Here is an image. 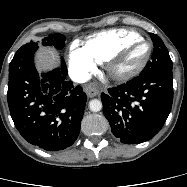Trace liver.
Here are the masks:
<instances>
[{"instance_id":"liver-1","label":"liver","mask_w":187,"mask_h":187,"mask_svg":"<svg viewBox=\"0 0 187 187\" xmlns=\"http://www.w3.org/2000/svg\"><path fill=\"white\" fill-rule=\"evenodd\" d=\"M57 60V52L55 50L42 48L37 57L38 69H51L57 63Z\"/></svg>"}]
</instances>
